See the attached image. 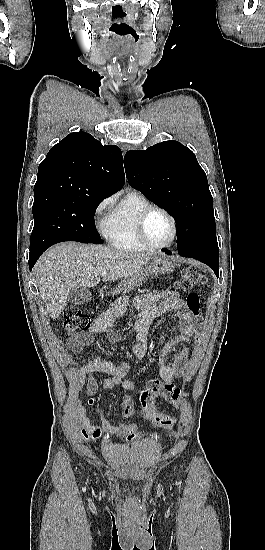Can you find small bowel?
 <instances>
[{"label": "small bowel", "mask_w": 265, "mask_h": 550, "mask_svg": "<svg viewBox=\"0 0 265 550\" xmlns=\"http://www.w3.org/2000/svg\"><path fill=\"white\" fill-rule=\"evenodd\" d=\"M130 302H132L134 309L139 314L135 324L136 342L131 347V353L137 359H144L148 355V333L154 318L171 312L178 321L179 333L173 336L158 353V372L161 380L166 385L176 388L175 380L185 376L189 370L188 347L196 344L200 319L185 309L182 298L175 292L168 290H153L143 295L136 296L132 300L126 296L118 298L102 315L93 321L92 326L88 330L66 338L65 343L67 350L70 354L81 352L84 347L92 343L93 337L100 333L105 334L110 343H117L119 335L113 327V322L123 314ZM173 346H182L183 348L170 360L171 348ZM129 372L130 366L126 363L114 364L100 356H94L76 370L74 375L79 384H83L85 381L87 382V392L93 395L98 392L99 383L94 376H90L87 379L88 375L94 373H106L109 375V377L103 381L101 387L103 391L118 386H121L126 391H133L136 387L135 382L125 379ZM161 397L164 398L163 396ZM121 412L122 416L125 418L134 415L135 404L131 398H124L121 405ZM78 417L82 427L81 435L85 440L95 442L101 439L103 433L102 429L95 426L92 421L86 417L83 408H79ZM148 420L163 426L159 420ZM109 433L115 435L117 434V430L110 429Z\"/></svg>", "instance_id": "obj_1"}]
</instances>
